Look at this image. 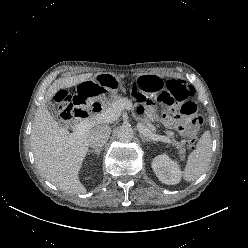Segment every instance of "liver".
<instances>
[{
  "label": "liver",
  "instance_id": "obj_1",
  "mask_svg": "<svg viewBox=\"0 0 248 248\" xmlns=\"http://www.w3.org/2000/svg\"><path fill=\"white\" fill-rule=\"evenodd\" d=\"M92 75L86 73L56 80L48 88L32 125L30 142L38 170L53 185L71 194L86 193L78 174L88 151L92 127L74 136L58 125L45 105L59 90L84 82Z\"/></svg>",
  "mask_w": 248,
  "mask_h": 248
}]
</instances>
